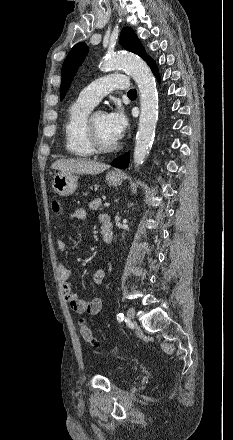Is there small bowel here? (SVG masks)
<instances>
[{
	"label": "small bowel",
	"instance_id": "small-bowel-1",
	"mask_svg": "<svg viewBox=\"0 0 233 440\" xmlns=\"http://www.w3.org/2000/svg\"><path fill=\"white\" fill-rule=\"evenodd\" d=\"M86 211L83 208H77L73 210L69 219L71 220H83L86 218ZM107 216H102L103 221ZM67 248L66 242L64 240L57 241V249L60 252H64ZM58 275L61 280L62 291L64 293L65 299L70 305L71 309L77 314H90L97 315L101 312L103 307V300L101 298H94L92 300H83L78 294L73 290L70 284V279L72 277V272L62 263H58ZM105 277V271L101 268L94 272L93 279L96 283H101Z\"/></svg>",
	"mask_w": 233,
	"mask_h": 440
}]
</instances>
